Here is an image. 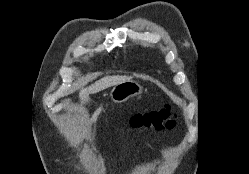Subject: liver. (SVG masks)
Returning <instances> with one entry per match:
<instances>
[{
	"label": "liver",
	"instance_id": "obj_1",
	"mask_svg": "<svg viewBox=\"0 0 249 174\" xmlns=\"http://www.w3.org/2000/svg\"><path fill=\"white\" fill-rule=\"evenodd\" d=\"M129 80H131V77L119 76V75L103 77L100 80L96 81L91 86H89L85 89H82L79 93V97L83 101L88 97L89 94L98 93L106 88H109L111 86H115L119 83L129 81Z\"/></svg>",
	"mask_w": 249,
	"mask_h": 174
}]
</instances>
